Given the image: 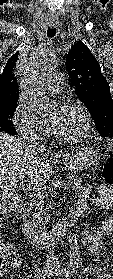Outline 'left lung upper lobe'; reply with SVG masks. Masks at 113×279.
Returning <instances> with one entry per match:
<instances>
[{
  "label": "left lung upper lobe",
  "instance_id": "1",
  "mask_svg": "<svg viewBox=\"0 0 113 279\" xmlns=\"http://www.w3.org/2000/svg\"><path fill=\"white\" fill-rule=\"evenodd\" d=\"M71 85L92 115L102 137L113 138V100L109 83L89 48L78 41L66 57Z\"/></svg>",
  "mask_w": 113,
  "mask_h": 279
}]
</instances>
